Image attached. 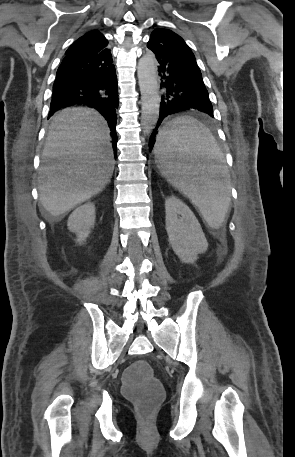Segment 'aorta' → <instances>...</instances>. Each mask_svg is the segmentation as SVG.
<instances>
[{
	"label": "aorta",
	"mask_w": 295,
	"mask_h": 457,
	"mask_svg": "<svg viewBox=\"0 0 295 457\" xmlns=\"http://www.w3.org/2000/svg\"><path fill=\"white\" fill-rule=\"evenodd\" d=\"M137 75L141 92V125L149 134L159 118L160 97L156 59L146 53L138 62Z\"/></svg>",
	"instance_id": "obj_1"
}]
</instances>
